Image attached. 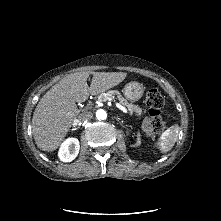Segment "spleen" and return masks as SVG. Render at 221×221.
Instances as JSON below:
<instances>
[{
    "label": "spleen",
    "mask_w": 221,
    "mask_h": 221,
    "mask_svg": "<svg viewBox=\"0 0 221 221\" xmlns=\"http://www.w3.org/2000/svg\"><path fill=\"white\" fill-rule=\"evenodd\" d=\"M177 139V126L173 125L164 131L159 139V147L162 152L172 149Z\"/></svg>",
    "instance_id": "1"
}]
</instances>
